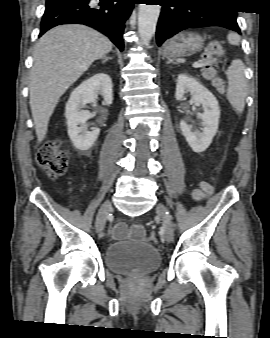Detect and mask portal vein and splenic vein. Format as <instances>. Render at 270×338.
<instances>
[{
  "label": "portal vein and splenic vein",
  "mask_w": 270,
  "mask_h": 338,
  "mask_svg": "<svg viewBox=\"0 0 270 338\" xmlns=\"http://www.w3.org/2000/svg\"><path fill=\"white\" fill-rule=\"evenodd\" d=\"M202 66H203V64L200 63V62H194V63H193V67H194V68H199V67H202Z\"/></svg>",
  "instance_id": "18ae733b"
}]
</instances>
